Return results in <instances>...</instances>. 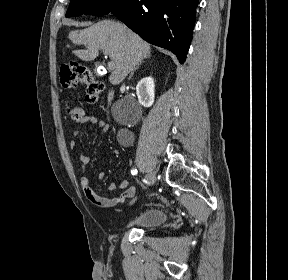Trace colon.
Masks as SVG:
<instances>
[{
  "instance_id": "5ec220e1",
  "label": "colon",
  "mask_w": 288,
  "mask_h": 280,
  "mask_svg": "<svg viewBox=\"0 0 288 280\" xmlns=\"http://www.w3.org/2000/svg\"><path fill=\"white\" fill-rule=\"evenodd\" d=\"M60 82L65 89H73L77 84H85L86 101L94 104L98 101L103 92V85L95 81L89 70L79 64L66 65L60 70ZM68 114L72 120L80 122L84 118V108L81 105H71L68 108Z\"/></svg>"
}]
</instances>
